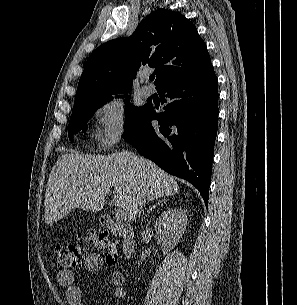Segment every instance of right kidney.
Listing matches in <instances>:
<instances>
[{"label": "right kidney", "mask_w": 297, "mask_h": 305, "mask_svg": "<svg viewBox=\"0 0 297 305\" xmlns=\"http://www.w3.org/2000/svg\"><path fill=\"white\" fill-rule=\"evenodd\" d=\"M188 218L183 209L163 212L155 222V231L162 241L163 254H167L179 242L187 226Z\"/></svg>", "instance_id": "obj_1"}]
</instances>
